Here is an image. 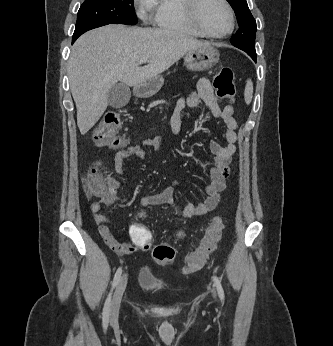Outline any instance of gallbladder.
I'll return each instance as SVG.
<instances>
[{
  "label": "gallbladder",
  "mask_w": 333,
  "mask_h": 346,
  "mask_svg": "<svg viewBox=\"0 0 333 346\" xmlns=\"http://www.w3.org/2000/svg\"><path fill=\"white\" fill-rule=\"evenodd\" d=\"M130 88L124 83L114 84L107 92L108 104L113 108H122L130 100Z\"/></svg>",
  "instance_id": "1"
}]
</instances>
